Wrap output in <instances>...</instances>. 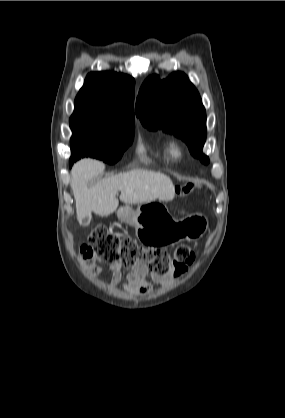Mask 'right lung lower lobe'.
<instances>
[{
  "instance_id": "right-lung-lower-lobe-1",
  "label": "right lung lower lobe",
  "mask_w": 285,
  "mask_h": 418,
  "mask_svg": "<svg viewBox=\"0 0 285 418\" xmlns=\"http://www.w3.org/2000/svg\"><path fill=\"white\" fill-rule=\"evenodd\" d=\"M73 163H74V162H71V163H70V166H71Z\"/></svg>"
}]
</instances>
